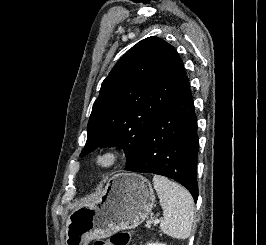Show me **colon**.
Masks as SVG:
<instances>
[{
	"instance_id": "1",
	"label": "colon",
	"mask_w": 266,
	"mask_h": 245,
	"mask_svg": "<svg viewBox=\"0 0 266 245\" xmlns=\"http://www.w3.org/2000/svg\"><path fill=\"white\" fill-rule=\"evenodd\" d=\"M131 236V230L118 231L111 236L110 245H129ZM95 245H107V243L105 240H97Z\"/></svg>"
}]
</instances>
